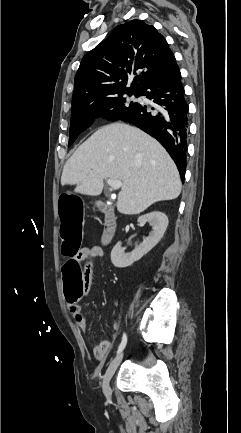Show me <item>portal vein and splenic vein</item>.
<instances>
[{"mask_svg": "<svg viewBox=\"0 0 241 433\" xmlns=\"http://www.w3.org/2000/svg\"><path fill=\"white\" fill-rule=\"evenodd\" d=\"M107 184L114 190H117L122 187V182L119 180L108 179Z\"/></svg>", "mask_w": 241, "mask_h": 433, "instance_id": "18ae733b", "label": "portal vein and splenic vein"}]
</instances>
